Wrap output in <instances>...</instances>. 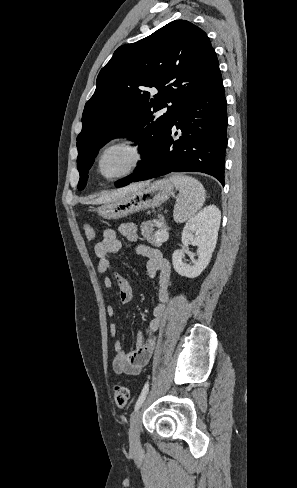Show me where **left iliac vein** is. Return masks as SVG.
Listing matches in <instances>:
<instances>
[{
	"mask_svg": "<svg viewBox=\"0 0 297 488\" xmlns=\"http://www.w3.org/2000/svg\"><path fill=\"white\" fill-rule=\"evenodd\" d=\"M140 422H141V411L136 410L130 419V428H129V441H130V449L133 453H136L140 450Z\"/></svg>",
	"mask_w": 297,
	"mask_h": 488,
	"instance_id": "obj_1",
	"label": "left iliac vein"
}]
</instances>
